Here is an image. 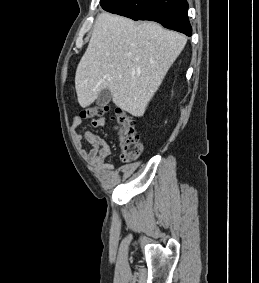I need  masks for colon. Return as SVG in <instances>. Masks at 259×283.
Listing matches in <instances>:
<instances>
[{
	"label": "colon",
	"instance_id": "1",
	"mask_svg": "<svg viewBox=\"0 0 259 283\" xmlns=\"http://www.w3.org/2000/svg\"><path fill=\"white\" fill-rule=\"evenodd\" d=\"M108 112L106 106H91L85 108L80 116L82 118H95ZM114 118L118 124L119 137L122 148V159L129 163L136 160L142 152V143L136 132L132 118L123 110L117 109Z\"/></svg>",
	"mask_w": 259,
	"mask_h": 283
}]
</instances>
